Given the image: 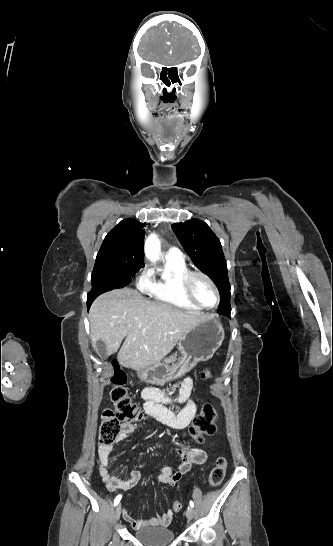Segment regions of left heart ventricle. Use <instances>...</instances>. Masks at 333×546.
<instances>
[{
	"instance_id": "1",
	"label": "left heart ventricle",
	"mask_w": 333,
	"mask_h": 546,
	"mask_svg": "<svg viewBox=\"0 0 333 546\" xmlns=\"http://www.w3.org/2000/svg\"><path fill=\"white\" fill-rule=\"evenodd\" d=\"M191 290L199 302L205 306H213L216 303V293L213 287L203 278L194 277L191 281Z\"/></svg>"
}]
</instances>
